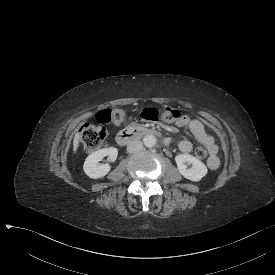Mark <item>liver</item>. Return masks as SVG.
<instances>
[{"mask_svg": "<svg viewBox=\"0 0 275 275\" xmlns=\"http://www.w3.org/2000/svg\"><path fill=\"white\" fill-rule=\"evenodd\" d=\"M80 140H81L80 134L76 133L75 136H74V139H73V153H74V156H76V154H77Z\"/></svg>", "mask_w": 275, "mask_h": 275, "instance_id": "1", "label": "liver"}]
</instances>
